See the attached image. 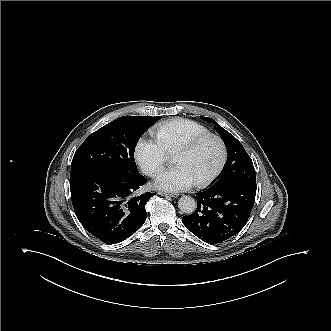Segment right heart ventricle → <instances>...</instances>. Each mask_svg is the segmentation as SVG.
I'll list each match as a JSON object with an SVG mask.
<instances>
[{
  "label": "right heart ventricle",
  "instance_id": "obj_1",
  "mask_svg": "<svg viewBox=\"0 0 331 331\" xmlns=\"http://www.w3.org/2000/svg\"><path fill=\"white\" fill-rule=\"evenodd\" d=\"M207 129L189 119H174L163 124L158 132V141L169 152H175L190 140L206 134Z\"/></svg>",
  "mask_w": 331,
  "mask_h": 331
}]
</instances>
